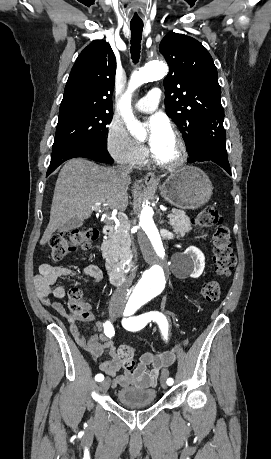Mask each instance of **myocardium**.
Instances as JSON below:
<instances>
[{"mask_svg": "<svg viewBox=\"0 0 271 459\" xmlns=\"http://www.w3.org/2000/svg\"><path fill=\"white\" fill-rule=\"evenodd\" d=\"M170 133L175 143V153L169 158L157 156L151 149V158L159 165L166 167H177L185 162L188 155L187 145L179 131L171 126Z\"/></svg>", "mask_w": 271, "mask_h": 459, "instance_id": "obj_1", "label": "myocardium"}]
</instances>
